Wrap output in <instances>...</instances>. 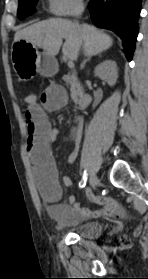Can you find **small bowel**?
Returning <instances> with one entry per match:
<instances>
[{
	"instance_id": "small-bowel-1",
	"label": "small bowel",
	"mask_w": 148,
	"mask_h": 279,
	"mask_svg": "<svg viewBox=\"0 0 148 279\" xmlns=\"http://www.w3.org/2000/svg\"><path fill=\"white\" fill-rule=\"evenodd\" d=\"M67 94L63 87L57 84L48 85L39 96L37 102L27 107V152L32 163L37 187L42 197L50 204L48 211L57 221L66 224L77 223L89 218H99L111 215L116 211L118 203L109 197L92 200L98 205L96 209L82 207L75 195H71L68 204H57L61 194L58 170L51 151V142L56 137L55 129L49 121L46 112L59 110L65 106ZM83 120L77 117L74 121V146L69 162H72L79 147ZM65 186H71L72 180L68 176L62 177Z\"/></svg>"
}]
</instances>
